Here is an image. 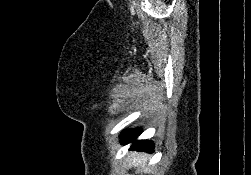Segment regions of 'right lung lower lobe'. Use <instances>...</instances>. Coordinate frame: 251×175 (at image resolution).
Instances as JSON below:
<instances>
[{
    "instance_id": "right-lung-lower-lobe-1",
    "label": "right lung lower lobe",
    "mask_w": 251,
    "mask_h": 175,
    "mask_svg": "<svg viewBox=\"0 0 251 175\" xmlns=\"http://www.w3.org/2000/svg\"><path fill=\"white\" fill-rule=\"evenodd\" d=\"M139 130H127L124 131L121 135V142L123 144H127L129 142L134 141L139 135ZM131 150H142L147 152H153L154 144L147 140L136 141L133 146L130 148Z\"/></svg>"
}]
</instances>
